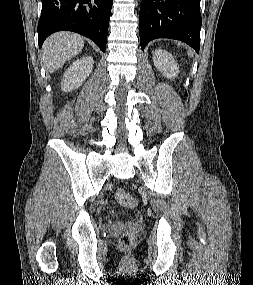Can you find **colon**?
<instances>
[{
	"label": "colon",
	"instance_id": "obj_1",
	"mask_svg": "<svg viewBox=\"0 0 253 285\" xmlns=\"http://www.w3.org/2000/svg\"><path fill=\"white\" fill-rule=\"evenodd\" d=\"M116 200L119 204L134 208L137 206V200L132 197L126 190L118 189L115 193ZM135 243V235L132 232H125L120 237V245L129 248Z\"/></svg>",
	"mask_w": 253,
	"mask_h": 285
}]
</instances>
